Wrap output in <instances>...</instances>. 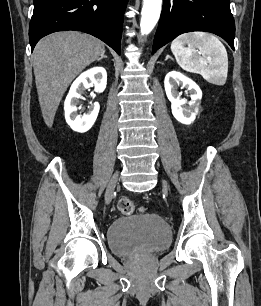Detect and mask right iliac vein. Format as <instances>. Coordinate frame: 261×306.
Segmentation results:
<instances>
[{
  "instance_id": "obj_1",
  "label": "right iliac vein",
  "mask_w": 261,
  "mask_h": 306,
  "mask_svg": "<svg viewBox=\"0 0 261 306\" xmlns=\"http://www.w3.org/2000/svg\"><path fill=\"white\" fill-rule=\"evenodd\" d=\"M118 177H119V173L116 172L113 177L111 178L108 186H107V189H106V193H105V201L106 202H109L112 198V195H113V191L115 189V186L118 182Z\"/></svg>"
}]
</instances>
